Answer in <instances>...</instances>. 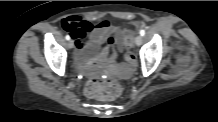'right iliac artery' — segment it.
<instances>
[{
  "instance_id": "right-iliac-artery-1",
  "label": "right iliac artery",
  "mask_w": 218,
  "mask_h": 122,
  "mask_svg": "<svg viewBox=\"0 0 218 122\" xmlns=\"http://www.w3.org/2000/svg\"><path fill=\"white\" fill-rule=\"evenodd\" d=\"M66 40H70V36L69 35H66Z\"/></svg>"
}]
</instances>
